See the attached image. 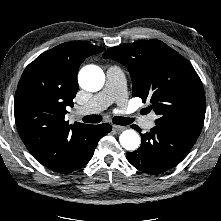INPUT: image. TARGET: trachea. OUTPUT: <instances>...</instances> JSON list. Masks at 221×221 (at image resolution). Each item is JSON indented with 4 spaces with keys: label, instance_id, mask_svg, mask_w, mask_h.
I'll return each mask as SVG.
<instances>
[{
    "label": "trachea",
    "instance_id": "trachea-1",
    "mask_svg": "<svg viewBox=\"0 0 221 221\" xmlns=\"http://www.w3.org/2000/svg\"><path fill=\"white\" fill-rule=\"evenodd\" d=\"M85 123H99L102 120L101 115H87L82 119ZM113 123L117 125H128L131 124L134 119L129 117H113Z\"/></svg>",
    "mask_w": 221,
    "mask_h": 221
}]
</instances>
